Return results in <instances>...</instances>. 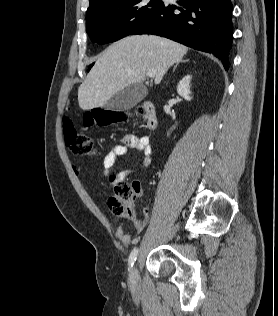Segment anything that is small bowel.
Masks as SVG:
<instances>
[{"label": "small bowel", "instance_id": "c3829d8e", "mask_svg": "<svg viewBox=\"0 0 278 316\" xmlns=\"http://www.w3.org/2000/svg\"><path fill=\"white\" fill-rule=\"evenodd\" d=\"M130 150H136L140 153L142 157V165L149 166L152 159V147L149 136H137L134 134H128L123 137L122 141L119 144H116L112 148H110L103 159V170L105 175H109V173L114 169L117 160L128 154ZM74 172L78 173L79 168L74 165ZM132 174V171L125 170L119 172L114 177V181H111V185L113 186L116 182H122L128 176ZM140 194V189L137 190L136 195ZM125 217V216H122ZM149 220V214H145L144 220H135L134 226L137 231H141L146 223ZM116 236L120 240V242L124 245H128L131 241V235L129 232L125 230L123 225H118L116 228Z\"/></svg>", "mask_w": 278, "mask_h": 316}]
</instances>
